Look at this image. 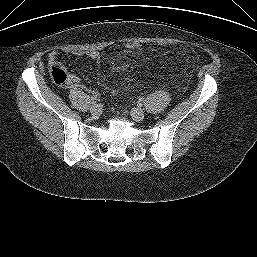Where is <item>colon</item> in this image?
I'll return each mask as SVG.
<instances>
[{
    "label": "colon",
    "mask_w": 257,
    "mask_h": 257,
    "mask_svg": "<svg viewBox=\"0 0 257 257\" xmlns=\"http://www.w3.org/2000/svg\"><path fill=\"white\" fill-rule=\"evenodd\" d=\"M124 47L130 50H137L141 48V44L136 41L124 42ZM52 81L58 86L69 85V75L59 66H53L50 70Z\"/></svg>",
    "instance_id": "1"
}]
</instances>
